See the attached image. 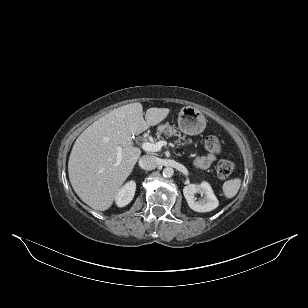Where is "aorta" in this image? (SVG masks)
<instances>
[{
    "label": "aorta",
    "mask_w": 308,
    "mask_h": 308,
    "mask_svg": "<svg viewBox=\"0 0 308 308\" xmlns=\"http://www.w3.org/2000/svg\"><path fill=\"white\" fill-rule=\"evenodd\" d=\"M162 174H163L164 177L170 178V177L173 176L174 170L171 167H166V168L163 169V173Z\"/></svg>",
    "instance_id": "aorta-1"
}]
</instances>
